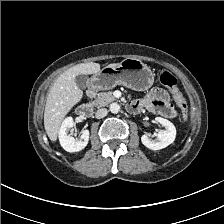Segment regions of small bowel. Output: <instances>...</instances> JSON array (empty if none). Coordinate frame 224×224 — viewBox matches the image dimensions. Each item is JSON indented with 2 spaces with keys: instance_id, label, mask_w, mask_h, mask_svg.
<instances>
[{
  "instance_id": "c3829d8e",
  "label": "small bowel",
  "mask_w": 224,
  "mask_h": 224,
  "mask_svg": "<svg viewBox=\"0 0 224 224\" xmlns=\"http://www.w3.org/2000/svg\"><path fill=\"white\" fill-rule=\"evenodd\" d=\"M135 102L139 104L141 108L151 110L163 117L169 118L176 115V111L169 103L167 92L161 88H153L145 98L135 100Z\"/></svg>"
}]
</instances>
